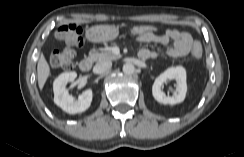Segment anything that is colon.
I'll list each match as a JSON object with an SVG mask.
<instances>
[{
  "mask_svg": "<svg viewBox=\"0 0 244 157\" xmlns=\"http://www.w3.org/2000/svg\"><path fill=\"white\" fill-rule=\"evenodd\" d=\"M156 27L149 24L136 25L130 29V34L136 37L155 34ZM57 37L63 41L66 46L55 49L50 56V63L56 68L70 70L73 67L75 59L74 47L83 45V32L77 24H66L61 26L56 33ZM191 54L194 58H200L202 47L200 43L193 42Z\"/></svg>",
  "mask_w": 244,
  "mask_h": 157,
  "instance_id": "colon-1",
  "label": "colon"
}]
</instances>
